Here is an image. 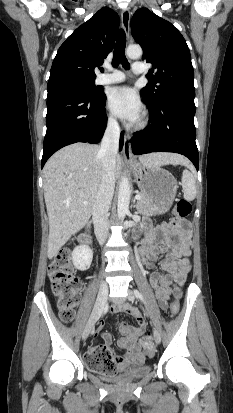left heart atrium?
Segmentation results:
<instances>
[{
    "label": "left heart atrium",
    "instance_id": "obj_1",
    "mask_svg": "<svg viewBox=\"0 0 233 413\" xmlns=\"http://www.w3.org/2000/svg\"><path fill=\"white\" fill-rule=\"evenodd\" d=\"M109 108L121 119L136 122L142 114V103L138 94L129 87L111 90L108 96Z\"/></svg>",
    "mask_w": 233,
    "mask_h": 413
}]
</instances>
